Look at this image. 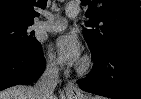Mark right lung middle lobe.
Here are the masks:
<instances>
[{
  "label": "right lung middle lobe",
  "mask_w": 141,
  "mask_h": 99,
  "mask_svg": "<svg viewBox=\"0 0 141 99\" xmlns=\"http://www.w3.org/2000/svg\"><path fill=\"white\" fill-rule=\"evenodd\" d=\"M33 22H0V49H32L40 43L30 32Z\"/></svg>",
  "instance_id": "1"
}]
</instances>
